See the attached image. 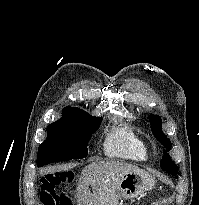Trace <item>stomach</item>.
I'll return each mask as SVG.
<instances>
[{
  "label": "stomach",
  "instance_id": "stomach-1",
  "mask_svg": "<svg viewBox=\"0 0 199 205\" xmlns=\"http://www.w3.org/2000/svg\"><path fill=\"white\" fill-rule=\"evenodd\" d=\"M154 187V178L147 172H132L124 176L120 184L119 199L122 201L135 198Z\"/></svg>",
  "mask_w": 199,
  "mask_h": 205
}]
</instances>
